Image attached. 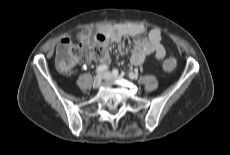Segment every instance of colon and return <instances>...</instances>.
Instances as JSON below:
<instances>
[{"label": "colon", "instance_id": "1", "mask_svg": "<svg viewBox=\"0 0 230 155\" xmlns=\"http://www.w3.org/2000/svg\"><path fill=\"white\" fill-rule=\"evenodd\" d=\"M105 49L100 44L86 43L73 44L66 39L62 40L55 57L57 68L62 72H69L76 63H88L103 57ZM177 62L173 56L167 55L161 59V70L169 73L176 68Z\"/></svg>", "mask_w": 230, "mask_h": 155}]
</instances>
